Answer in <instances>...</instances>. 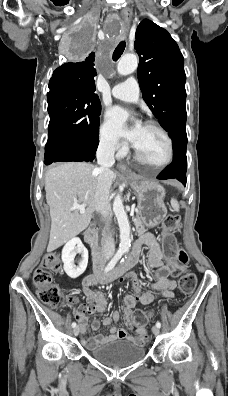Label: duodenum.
Returning <instances> with one entry per match:
<instances>
[{"instance_id": "duodenum-1", "label": "duodenum", "mask_w": 228, "mask_h": 396, "mask_svg": "<svg viewBox=\"0 0 228 396\" xmlns=\"http://www.w3.org/2000/svg\"><path fill=\"white\" fill-rule=\"evenodd\" d=\"M86 241L91 246L92 254L94 257V263L96 267V272L100 273L101 265H102V252L98 243V234L95 230L90 231L86 235ZM135 263L134 259H129L127 261L122 262L119 266H117L114 270H112L109 274H107L105 281H111L123 275V273Z\"/></svg>"}]
</instances>
